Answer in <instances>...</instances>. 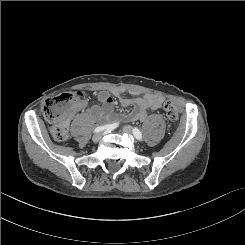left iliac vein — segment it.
<instances>
[{"mask_svg": "<svg viewBox=\"0 0 245 245\" xmlns=\"http://www.w3.org/2000/svg\"><path fill=\"white\" fill-rule=\"evenodd\" d=\"M122 130H123V132H125L127 134H132L133 133V129L129 125H125Z\"/></svg>", "mask_w": 245, "mask_h": 245, "instance_id": "obj_1", "label": "left iliac vein"}]
</instances>
